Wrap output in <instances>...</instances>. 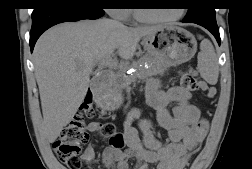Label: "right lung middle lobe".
Segmentation results:
<instances>
[{"label":"right lung middle lobe","mask_w":252,"mask_h":169,"mask_svg":"<svg viewBox=\"0 0 252 169\" xmlns=\"http://www.w3.org/2000/svg\"><path fill=\"white\" fill-rule=\"evenodd\" d=\"M103 0H77V2L82 3V4H86L89 6H93L96 8H102V2ZM47 2V0H38V3H36V8L44 5ZM35 8V9H36Z\"/></svg>","instance_id":"obj_1"}]
</instances>
